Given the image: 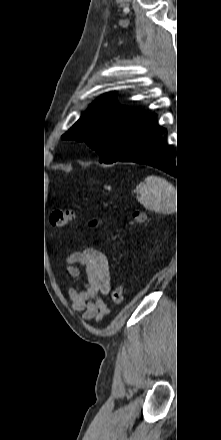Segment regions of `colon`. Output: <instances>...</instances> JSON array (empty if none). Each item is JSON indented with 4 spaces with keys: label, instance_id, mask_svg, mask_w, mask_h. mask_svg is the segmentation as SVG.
<instances>
[{
    "label": "colon",
    "instance_id": "5ec220e1",
    "mask_svg": "<svg viewBox=\"0 0 221 440\" xmlns=\"http://www.w3.org/2000/svg\"><path fill=\"white\" fill-rule=\"evenodd\" d=\"M74 219V213L71 210L56 209L50 215V222L56 227H65ZM146 220V213L143 211L132 212L129 224L133 226L142 225ZM110 300L115 305H120L124 300V289L121 286H115L110 292Z\"/></svg>",
    "mask_w": 221,
    "mask_h": 440
}]
</instances>
